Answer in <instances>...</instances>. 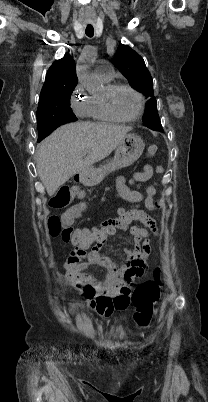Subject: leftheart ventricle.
<instances>
[{"mask_svg": "<svg viewBox=\"0 0 208 402\" xmlns=\"http://www.w3.org/2000/svg\"><path fill=\"white\" fill-rule=\"evenodd\" d=\"M116 111L123 117L135 116L140 107L139 98L128 89H120L114 96Z\"/></svg>", "mask_w": 208, "mask_h": 402, "instance_id": "obj_1", "label": "left heart ventricle"}]
</instances>
